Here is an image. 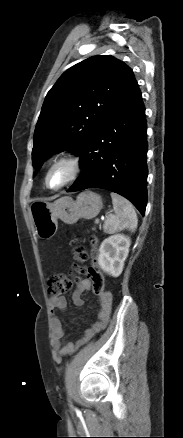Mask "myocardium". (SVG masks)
<instances>
[{"mask_svg":"<svg viewBox=\"0 0 183 438\" xmlns=\"http://www.w3.org/2000/svg\"><path fill=\"white\" fill-rule=\"evenodd\" d=\"M60 164H64L69 168V171H70L69 177L61 185H59L57 187H51L48 184V175L53 167L60 165ZM81 168H82V166H81L80 159L74 155H64V156L58 157L55 160H53L49 164V166L47 167L45 174H44V184L50 190H53V191L60 190L77 179V177L79 176V174L81 172Z\"/></svg>","mask_w":183,"mask_h":438,"instance_id":"obj_1","label":"myocardium"}]
</instances>
